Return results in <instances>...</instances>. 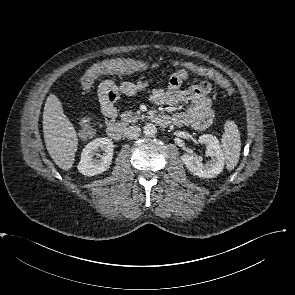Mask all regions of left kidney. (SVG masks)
Masks as SVG:
<instances>
[{
  "mask_svg": "<svg viewBox=\"0 0 295 295\" xmlns=\"http://www.w3.org/2000/svg\"><path fill=\"white\" fill-rule=\"evenodd\" d=\"M198 142L205 144L206 156L211 157V160L204 165L196 155L185 153L181 157L182 162L193 175L200 178H214L222 172L225 165L219 141L215 136L204 134L199 137Z\"/></svg>",
  "mask_w": 295,
  "mask_h": 295,
  "instance_id": "1",
  "label": "left kidney"
}]
</instances>
